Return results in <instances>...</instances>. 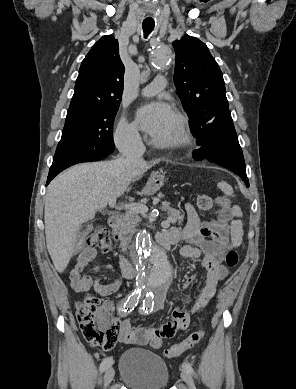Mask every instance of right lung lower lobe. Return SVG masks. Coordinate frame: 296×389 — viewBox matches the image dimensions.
Masks as SVG:
<instances>
[{
  "label": "right lung lower lobe",
  "mask_w": 296,
  "mask_h": 389,
  "mask_svg": "<svg viewBox=\"0 0 296 389\" xmlns=\"http://www.w3.org/2000/svg\"><path fill=\"white\" fill-rule=\"evenodd\" d=\"M62 170V168H50V171H49V175H48V179H47V184L50 183V181L58 174L60 173Z\"/></svg>",
  "instance_id": "right-lung-lower-lobe-1"
}]
</instances>
